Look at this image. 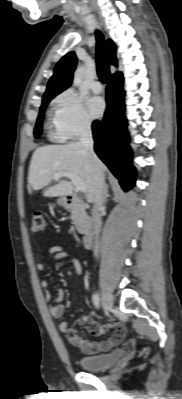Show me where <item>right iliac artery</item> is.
Wrapping results in <instances>:
<instances>
[{
  "mask_svg": "<svg viewBox=\"0 0 182 399\" xmlns=\"http://www.w3.org/2000/svg\"><path fill=\"white\" fill-rule=\"evenodd\" d=\"M92 301H93L94 306H95L97 309H99V308H100V298H99V296H98L97 294H94V295H93Z\"/></svg>",
  "mask_w": 182,
  "mask_h": 399,
  "instance_id": "obj_1",
  "label": "right iliac artery"
}]
</instances>
